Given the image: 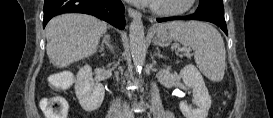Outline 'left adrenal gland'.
Wrapping results in <instances>:
<instances>
[{"label":"left adrenal gland","mask_w":273,"mask_h":118,"mask_svg":"<svg viewBox=\"0 0 273 118\" xmlns=\"http://www.w3.org/2000/svg\"><path fill=\"white\" fill-rule=\"evenodd\" d=\"M155 55H157L160 58L161 57L160 51L158 50Z\"/></svg>","instance_id":"left-adrenal-gland-1"}]
</instances>
